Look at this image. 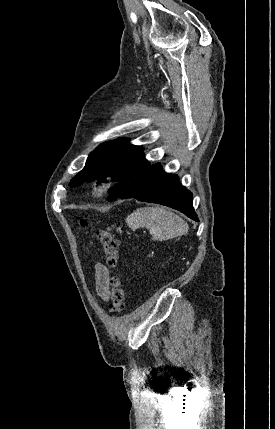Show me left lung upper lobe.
Segmentation results:
<instances>
[{
  "instance_id": "left-lung-upper-lobe-1",
  "label": "left lung upper lobe",
  "mask_w": 275,
  "mask_h": 429,
  "mask_svg": "<svg viewBox=\"0 0 275 429\" xmlns=\"http://www.w3.org/2000/svg\"><path fill=\"white\" fill-rule=\"evenodd\" d=\"M125 140L121 138L98 146L89 154L85 167L71 180L69 186L111 177L112 181L119 182L117 185L121 188V194L127 191L151 164L144 158L142 147L131 145Z\"/></svg>"
}]
</instances>
